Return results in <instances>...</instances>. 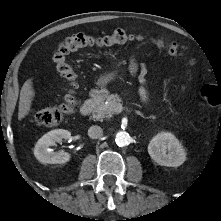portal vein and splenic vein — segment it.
Segmentation results:
<instances>
[{"label": "portal vein and splenic vein", "instance_id": "portal-vein-and-splenic-vein-1", "mask_svg": "<svg viewBox=\"0 0 221 221\" xmlns=\"http://www.w3.org/2000/svg\"><path fill=\"white\" fill-rule=\"evenodd\" d=\"M122 110H123L122 104L117 103V104L115 105L114 111H115L116 113H121Z\"/></svg>", "mask_w": 221, "mask_h": 221}]
</instances>
